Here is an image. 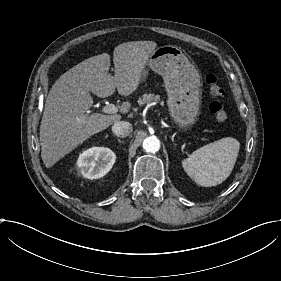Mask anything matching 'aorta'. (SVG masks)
<instances>
[{"label": "aorta", "mask_w": 281, "mask_h": 281, "mask_svg": "<svg viewBox=\"0 0 281 281\" xmlns=\"http://www.w3.org/2000/svg\"><path fill=\"white\" fill-rule=\"evenodd\" d=\"M143 149L146 152L156 153L160 149V141L156 136H149L143 141Z\"/></svg>", "instance_id": "obj_1"}]
</instances>
